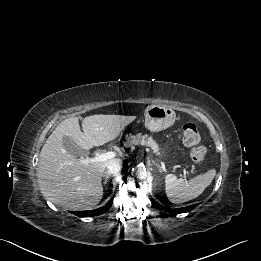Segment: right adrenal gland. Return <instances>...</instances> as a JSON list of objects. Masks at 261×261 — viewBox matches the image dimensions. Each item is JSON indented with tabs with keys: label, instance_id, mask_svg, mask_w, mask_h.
I'll return each mask as SVG.
<instances>
[{
	"label": "right adrenal gland",
	"instance_id": "2a0ac1e0",
	"mask_svg": "<svg viewBox=\"0 0 261 261\" xmlns=\"http://www.w3.org/2000/svg\"><path fill=\"white\" fill-rule=\"evenodd\" d=\"M110 175H111V174L105 172V174L103 175V177H104V182H103V183H104V184H107V181H108Z\"/></svg>",
	"mask_w": 261,
	"mask_h": 261
}]
</instances>
